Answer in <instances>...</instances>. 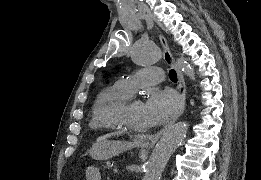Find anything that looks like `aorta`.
Segmentation results:
<instances>
[{"mask_svg":"<svg viewBox=\"0 0 261 180\" xmlns=\"http://www.w3.org/2000/svg\"><path fill=\"white\" fill-rule=\"evenodd\" d=\"M131 57L137 65L147 66L159 61L162 53L155 44L139 42L133 47ZM177 64L189 78L194 77V70L186 64L183 58H179ZM187 131V123L178 122L163 134L146 163L144 180H160L169 158L181 145Z\"/></svg>","mask_w":261,"mask_h":180,"instance_id":"aorta-1","label":"aorta"}]
</instances>
